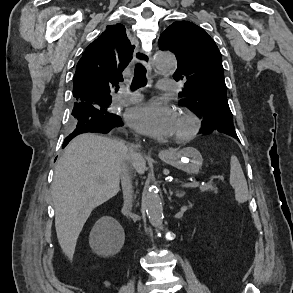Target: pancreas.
Listing matches in <instances>:
<instances>
[{"instance_id": "pancreas-1", "label": "pancreas", "mask_w": 293, "mask_h": 293, "mask_svg": "<svg viewBox=\"0 0 293 293\" xmlns=\"http://www.w3.org/2000/svg\"><path fill=\"white\" fill-rule=\"evenodd\" d=\"M199 190L201 192L213 191L214 193H217V188L213 186L212 182H207L206 184L199 186Z\"/></svg>"}]
</instances>
